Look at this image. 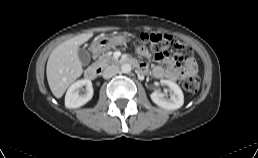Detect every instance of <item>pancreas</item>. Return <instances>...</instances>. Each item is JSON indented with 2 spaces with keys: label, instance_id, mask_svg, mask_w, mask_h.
<instances>
[{
  "label": "pancreas",
  "instance_id": "cf45deb5",
  "mask_svg": "<svg viewBox=\"0 0 258 158\" xmlns=\"http://www.w3.org/2000/svg\"><path fill=\"white\" fill-rule=\"evenodd\" d=\"M115 63V59L109 54L105 53L103 54L97 61L96 64L105 68L110 64Z\"/></svg>",
  "mask_w": 258,
  "mask_h": 158
}]
</instances>
